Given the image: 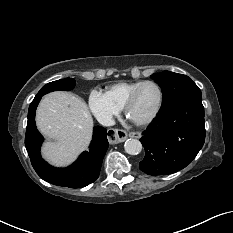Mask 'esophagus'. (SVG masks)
Returning <instances> with one entry per match:
<instances>
[{
    "instance_id": "esophagus-1",
    "label": "esophagus",
    "mask_w": 233,
    "mask_h": 233,
    "mask_svg": "<svg viewBox=\"0 0 233 233\" xmlns=\"http://www.w3.org/2000/svg\"><path fill=\"white\" fill-rule=\"evenodd\" d=\"M140 136L139 132H132V137L139 138ZM126 138L127 133L122 129L110 128L106 134V139L111 144H118L126 140Z\"/></svg>"
}]
</instances>
